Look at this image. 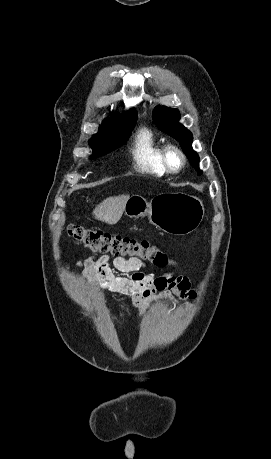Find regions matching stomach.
Here are the masks:
<instances>
[{"label": "stomach", "mask_w": 271, "mask_h": 459, "mask_svg": "<svg viewBox=\"0 0 271 459\" xmlns=\"http://www.w3.org/2000/svg\"><path fill=\"white\" fill-rule=\"evenodd\" d=\"M124 212L128 218L148 216L153 226L166 233L186 235L200 226L204 206L199 198L188 194H159L150 202L140 196L129 198Z\"/></svg>", "instance_id": "stomach-1"}]
</instances>
